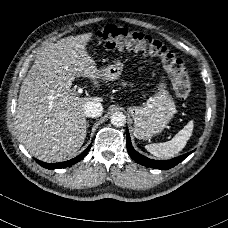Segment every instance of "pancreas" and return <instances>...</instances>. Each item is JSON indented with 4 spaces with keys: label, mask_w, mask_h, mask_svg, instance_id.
<instances>
[{
    "label": "pancreas",
    "mask_w": 228,
    "mask_h": 228,
    "mask_svg": "<svg viewBox=\"0 0 228 228\" xmlns=\"http://www.w3.org/2000/svg\"><path fill=\"white\" fill-rule=\"evenodd\" d=\"M123 86H126V83H122Z\"/></svg>",
    "instance_id": "pancreas-1"
}]
</instances>
